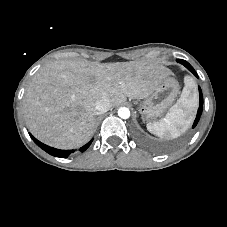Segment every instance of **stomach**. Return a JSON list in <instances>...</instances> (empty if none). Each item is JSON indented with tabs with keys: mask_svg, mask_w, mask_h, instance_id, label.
Here are the masks:
<instances>
[{
	"mask_svg": "<svg viewBox=\"0 0 227 227\" xmlns=\"http://www.w3.org/2000/svg\"><path fill=\"white\" fill-rule=\"evenodd\" d=\"M179 94V84L172 77L165 78L139 106V112L147 120L154 119L162 115L169 109L177 95Z\"/></svg>",
	"mask_w": 227,
	"mask_h": 227,
	"instance_id": "1",
	"label": "stomach"
}]
</instances>
